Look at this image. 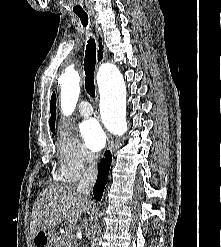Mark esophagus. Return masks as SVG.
I'll list each match as a JSON object with an SVG mask.
<instances>
[{"mask_svg": "<svg viewBox=\"0 0 221 247\" xmlns=\"http://www.w3.org/2000/svg\"><path fill=\"white\" fill-rule=\"evenodd\" d=\"M95 30H96V39H97L96 59H97V64L100 65L107 57V48L105 46L102 31L97 24L95 25ZM97 98H98V95H97ZM107 143H108V149L112 151L114 149V140L110 136L109 133H107Z\"/></svg>", "mask_w": 221, "mask_h": 247, "instance_id": "obj_1", "label": "esophagus"}]
</instances>
